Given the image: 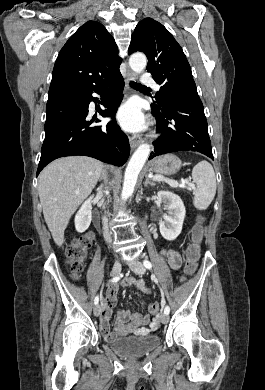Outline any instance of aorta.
I'll return each instance as SVG.
<instances>
[{"instance_id":"762f6f07","label":"aorta","mask_w":265,"mask_h":390,"mask_svg":"<svg viewBox=\"0 0 265 390\" xmlns=\"http://www.w3.org/2000/svg\"><path fill=\"white\" fill-rule=\"evenodd\" d=\"M129 65L135 73H141L147 65L146 56L143 53L132 54L129 59ZM150 151L149 144H142L132 155L125 171L123 189L121 193L122 200H126L132 196L138 175L148 159Z\"/></svg>"}]
</instances>
